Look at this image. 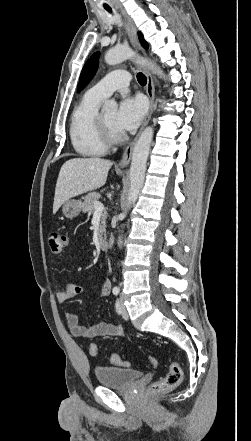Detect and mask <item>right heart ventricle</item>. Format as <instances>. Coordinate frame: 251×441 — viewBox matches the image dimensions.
<instances>
[{
	"mask_svg": "<svg viewBox=\"0 0 251 441\" xmlns=\"http://www.w3.org/2000/svg\"><path fill=\"white\" fill-rule=\"evenodd\" d=\"M104 97L88 90L75 107L70 123V139L75 151L84 157L103 155L108 146L102 140L97 124L99 105Z\"/></svg>",
	"mask_w": 251,
	"mask_h": 441,
	"instance_id": "right-heart-ventricle-1",
	"label": "right heart ventricle"
}]
</instances>
